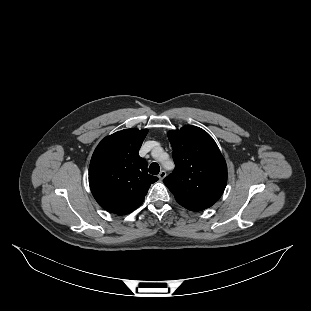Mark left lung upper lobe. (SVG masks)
<instances>
[{
	"label": "left lung upper lobe",
	"instance_id": "left-lung-upper-lobe-1",
	"mask_svg": "<svg viewBox=\"0 0 311 311\" xmlns=\"http://www.w3.org/2000/svg\"><path fill=\"white\" fill-rule=\"evenodd\" d=\"M173 148L174 171L164 184L183 207L200 211L212 206L227 183L226 162L212 137L187 125L168 132Z\"/></svg>",
	"mask_w": 311,
	"mask_h": 311
}]
</instances>
